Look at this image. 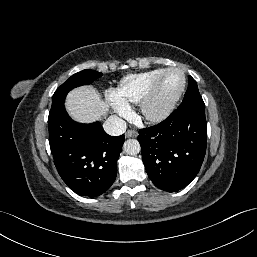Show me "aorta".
<instances>
[{"instance_id":"obj_1","label":"aorta","mask_w":257,"mask_h":257,"mask_svg":"<svg viewBox=\"0 0 257 257\" xmlns=\"http://www.w3.org/2000/svg\"><path fill=\"white\" fill-rule=\"evenodd\" d=\"M124 152L128 155H136L140 152V143L136 139H128L123 145Z\"/></svg>"}]
</instances>
